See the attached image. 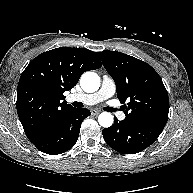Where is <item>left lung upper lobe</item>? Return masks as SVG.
<instances>
[{
	"label": "left lung upper lobe",
	"mask_w": 193,
	"mask_h": 193,
	"mask_svg": "<svg viewBox=\"0 0 193 193\" xmlns=\"http://www.w3.org/2000/svg\"><path fill=\"white\" fill-rule=\"evenodd\" d=\"M114 79L123 104L125 121L168 119L169 98L158 73L147 63L127 54L104 50L96 53Z\"/></svg>",
	"instance_id": "left-lung-upper-lobe-1"
}]
</instances>
